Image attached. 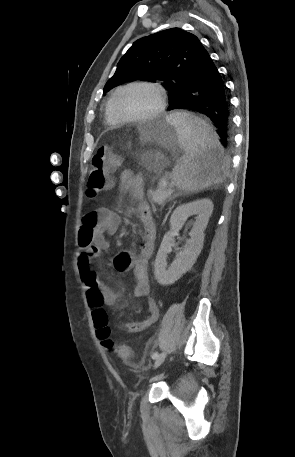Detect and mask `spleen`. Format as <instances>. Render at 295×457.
Here are the masks:
<instances>
[{
    "label": "spleen",
    "mask_w": 295,
    "mask_h": 457,
    "mask_svg": "<svg viewBox=\"0 0 295 457\" xmlns=\"http://www.w3.org/2000/svg\"><path fill=\"white\" fill-rule=\"evenodd\" d=\"M166 118L176 127L180 147L185 151L173 169L174 184L187 192H198L222 181L227 174V162L214 129L184 111Z\"/></svg>",
    "instance_id": "obj_1"
}]
</instances>
